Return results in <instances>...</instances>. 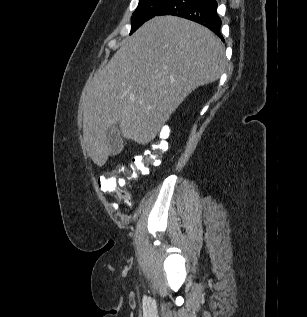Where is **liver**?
Wrapping results in <instances>:
<instances>
[{"instance_id": "6515ba94", "label": "liver", "mask_w": 307, "mask_h": 317, "mask_svg": "<svg viewBox=\"0 0 307 317\" xmlns=\"http://www.w3.org/2000/svg\"><path fill=\"white\" fill-rule=\"evenodd\" d=\"M225 67L222 42L206 27L174 16L146 22L83 90V137L93 162L107 161L113 124L147 144L193 90L218 80Z\"/></svg>"}]
</instances>
